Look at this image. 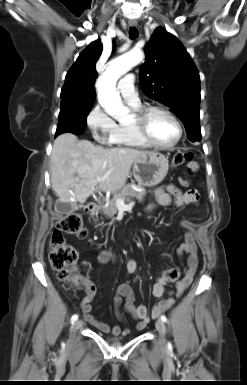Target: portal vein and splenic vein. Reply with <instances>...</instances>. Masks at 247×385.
<instances>
[{"mask_svg": "<svg viewBox=\"0 0 247 385\" xmlns=\"http://www.w3.org/2000/svg\"><path fill=\"white\" fill-rule=\"evenodd\" d=\"M104 178H105V177L97 176V180H98V181H101V180H103ZM116 204H117V207L122 208V209H127L128 207H130V205H126V204L124 203V200H122V199H117V200H116Z\"/></svg>", "mask_w": 247, "mask_h": 385, "instance_id": "18ae733b", "label": "portal vein and splenic vein"}]
</instances>
